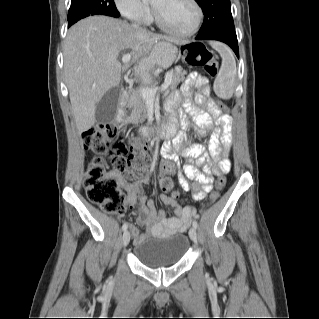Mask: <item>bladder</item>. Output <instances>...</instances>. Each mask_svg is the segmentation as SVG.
I'll list each match as a JSON object with an SVG mask.
<instances>
[{
	"mask_svg": "<svg viewBox=\"0 0 319 319\" xmlns=\"http://www.w3.org/2000/svg\"><path fill=\"white\" fill-rule=\"evenodd\" d=\"M191 248L184 234L167 237L147 236L134 246V256L147 267H165L179 263Z\"/></svg>",
	"mask_w": 319,
	"mask_h": 319,
	"instance_id": "bladder-1",
	"label": "bladder"
}]
</instances>
